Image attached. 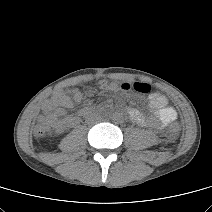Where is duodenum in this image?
<instances>
[{"label":"duodenum","mask_w":212,"mask_h":212,"mask_svg":"<svg viewBox=\"0 0 212 212\" xmlns=\"http://www.w3.org/2000/svg\"><path fill=\"white\" fill-rule=\"evenodd\" d=\"M90 112V109L89 108H84L82 110V114H88Z\"/></svg>","instance_id":"obj_1"}]
</instances>
